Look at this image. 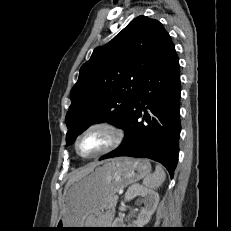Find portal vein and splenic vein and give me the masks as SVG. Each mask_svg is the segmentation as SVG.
Instances as JSON below:
<instances>
[{
  "label": "portal vein and splenic vein",
  "instance_id": "obj_1",
  "mask_svg": "<svg viewBox=\"0 0 231 231\" xmlns=\"http://www.w3.org/2000/svg\"><path fill=\"white\" fill-rule=\"evenodd\" d=\"M115 199H118V195H115Z\"/></svg>",
  "mask_w": 231,
  "mask_h": 231
}]
</instances>
